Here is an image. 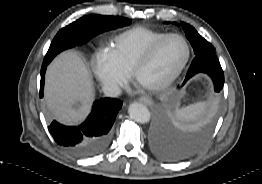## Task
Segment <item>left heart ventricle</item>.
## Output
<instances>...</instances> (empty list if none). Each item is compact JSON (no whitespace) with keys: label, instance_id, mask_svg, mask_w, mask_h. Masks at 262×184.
I'll return each instance as SVG.
<instances>
[{"label":"left heart ventricle","instance_id":"obj_1","mask_svg":"<svg viewBox=\"0 0 262 184\" xmlns=\"http://www.w3.org/2000/svg\"><path fill=\"white\" fill-rule=\"evenodd\" d=\"M185 56L186 47L181 39H166L158 47L151 62L140 72L139 81L144 85L165 81L177 70Z\"/></svg>","mask_w":262,"mask_h":184}]
</instances>
